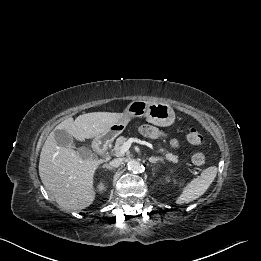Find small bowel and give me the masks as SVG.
Returning <instances> with one entry per match:
<instances>
[{"mask_svg":"<svg viewBox=\"0 0 261 261\" xmlns=\"http://www.w3.org/2000/svg\"><path fill=\"white\" fill-rule=\"evenodd\" d=\"M141 132L143 135H145L149 138H158V137L165 136V134L160 129H158L157 127L150 125V124L143 125L141 127ZM170 144L174 148L179 146V142L176 139H171Z\"/></svg>","mask_w":261,"mask_h":261,"instance_id":"1","label":"small bowel"}]
</instances>
